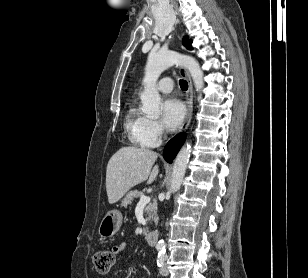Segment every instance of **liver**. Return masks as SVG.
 I'll list each match as a JSON object with an SVG mask.
<instances>
[{
	"instance_id": "1",
	"label": "liver",
	"mask_w": 308,
	"mask_h": 278,
	"mask_svg": "<svg viewBox=\"0 0 308 278\" xmlns=\"http://www.w3.org/2000/svg\"><path fill=\"white\" fill-rule=\"evenodd\" d=\"M158 154L138 147H122L109 160L106 170L108 202H118L132 187L148 180L151 184L159 173L158 165L152 169Z\"/></svg>"
}]
</instances>
